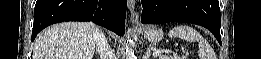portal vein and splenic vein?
Returning <instances> with one entry per match:
<instances>
[{"label":"portal vein and splenic vein","instance_id":"obj_1","mask_svg":"<svg viewBox=\"0 0 261 59\" xmlns=\"http://www.w3.org/2000/svg\"><path fill=\"white\" fill-rule=\"evenodd\" d=\"M165 52L164 50H156L155 52H153V56H158L159 54Z\"/></svg>","mask_w":261,"mask_h":59}]
</instances>
